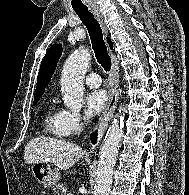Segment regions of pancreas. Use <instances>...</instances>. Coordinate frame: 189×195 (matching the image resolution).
<instances>
[{"instance_id": "obj_1", "label": "pancreas", "mask_w": 189, "mask_h": 195, "mask_svg": "<svg viewBox=\"0 0 189 195\" xmlns=\"http://www.w3.org/2000/svg\"><path fill=\"white\" fill-rule=\"evenodd\" d=\"M64 183H58L55 187H54V192L56 193V195H63L62 193V189L64 188Z\"/></svg>"}]
</instances>
